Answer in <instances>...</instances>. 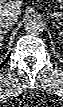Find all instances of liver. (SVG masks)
<instances>
[{"label":"liver","mask_w":63,"mask_h":107,"mask_svg":"<svg viewBox=\"0 0 63 107\" xmlns=\"http://www.w3.org/2000/svg\"><path fill=\"white\" fill-rule=\"evenodd\" d=\"M21 4L22 1L19 0H1L0 1V13L10 12L13 14L20 15L21 14Z\"/></svg>","instance_id":"1"}]
</instances>
